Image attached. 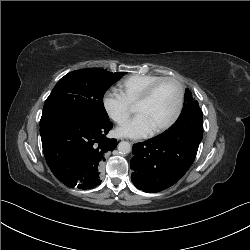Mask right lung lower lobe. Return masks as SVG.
Instances as JSON below:
<instances>
[{"label": "right lung lower lobe", "mask_w": 250, "mask_h": 250, "mask_svg": "<svg viewBox=\"0 0 250 250\" xmlns=\"http://www.w3.org/2000/svg\"><path fill=\"white\" fill-rule=\"evenodd\" d=\"M110 120L91 122L60 119L40 126L42 147L53 174L66 186L91 189L100 185L105 156L116 147V140L105 135Z\"/></svg>", "instance_id": "98d812e1"}]
</instances>
